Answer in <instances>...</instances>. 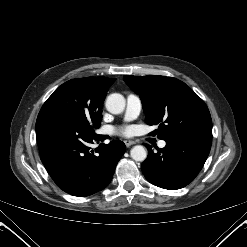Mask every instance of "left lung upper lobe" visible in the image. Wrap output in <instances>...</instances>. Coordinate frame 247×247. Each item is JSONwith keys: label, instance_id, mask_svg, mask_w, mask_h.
I'll list each match as a JSON object with an SVG mask.
<instances>
[{"label": "left lung upper lobe", "instance_id": "obj_1", "mask_svg": "<svg viewBox=\"0 0 247 247\" xmlns=\"http://www.w3.org/2000/svg\"><path fill=\"white\" fill-rule=\"evenodd\" d=\"M126 84L142 101L149 125L158 124V137L187 130L212 129L204 101L182 81L165 76H124Z\"/></svg>", "mask_w": 247, "mask_h": 247}]
</instances>
